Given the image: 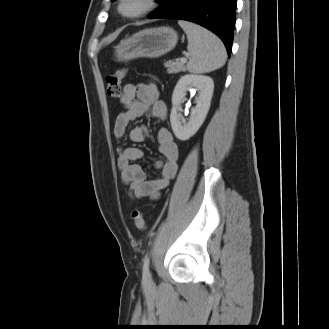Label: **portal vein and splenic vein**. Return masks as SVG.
Returning <instances> with one entry per match:
<instances>
[{"label":"portal vein and splenic vein","instance_id":"1","mask_svg":"<svg viewBox=\"0 0 329 329\" xmlns=\"http://www.w3.org/2000/svg\"><path fill=\"white\" fill-rule=\"evenodd\" d=\"M180 62H182V63H186V62H187V58H186V57H182V58L180 59Z\"/></svg>","mask_w":329,"mask_h":329}]
</instances>
